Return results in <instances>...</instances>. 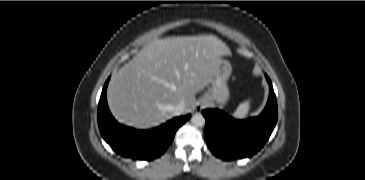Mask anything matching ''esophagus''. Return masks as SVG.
Wrapping results in <instances>:
<instances>
[{"label": "esophagus", "mask_w": 365, "mask_h": 180, "mask_svg": "<svg viewBox=\"0 0 365 180\" xmlns=\"http://www.w3.org/2000/svg\"><path fill=\"white\" fill-rule=\"evenodd\" d=\"M202 108H203L202 104H197L196 107H195V111L200 112Z\"/></svg>", "instance_id": "1"}]
</instances>
